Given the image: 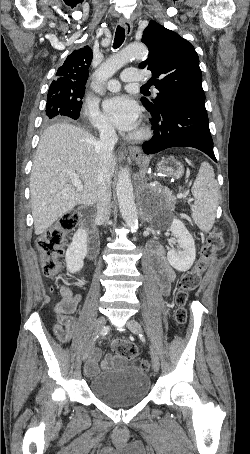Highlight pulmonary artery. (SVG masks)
I'll list each match as a JSON object with an SVG mask.
<instances>
[{
  "label": "pulmonary artery",
  "instance_id": "1",
  "mask_svg": "<svg viewBox=\"0 0 250 454\" xmlns=\"http://www.w3.org/2000/svg\"><path fill=\"white\" fill-rule=\"evenodd\" d=\"M143 75L135 68L125 70L121 75V80L111 79L107 82L106 87L110 91H118L122 83L145 82Z\"/></svg>",
  "mask_w": 250,
  "mask_h": 454
}]
</instances>
